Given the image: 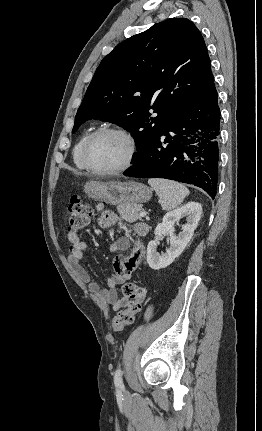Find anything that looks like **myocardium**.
I'll return each mask as SVG.
<instances>
[{"label": "myocardium", "instance_id": "myocardium-1", "mask_svg": "<svg viewBox=\"0 0 262 431\" xmlns=\"http://www.w3.org/2000/svg\"><path fill=\"white\" fill-rule=\"evenodd\" d=\"M105 133H115V134H119L121 135L128 143L129 146V150H128V154L126 159L124 160V162L115 168H111V169H99V168H95L94 166H92L89 162V158H88V153H89V148L92 144V142L94 141L95 138H97L98 136L105 134ZM138 152V145H137V141L134 137V135L127 130L124 127L121 126H107V127H103L101 129H98L94 132H92L88 138L86 139L83 148H82V152H81V160L85 166V168L90 171L92 174L95 175H116L119 174L123 171H125L126 169H128L134 162L136 155Z\"/></svg>", "mask_w": 262, "mask_h": 431}]
</instances>
